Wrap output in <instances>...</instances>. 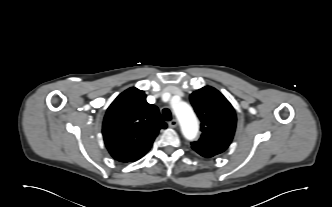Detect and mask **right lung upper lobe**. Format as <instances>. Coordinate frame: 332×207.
Returning a JSON list of instances; mask_svg holds the SVG:
<instances>
[{
  "label": "right lung upper lobe",
  "mask_w": 332,
  "mask_h": 207,
  "mask_svg": "<svg viewBox=\"0 0 332 207\" xmlns=\"http://www.w3.org/2000/svg\"><path fill=\"white\" fill-rule=\"evenodd\" d=\"M166 127L158 108L147 103L144 91L131 87L107 109L102 133L114 159L134 162L148 152L159 130Z\"/></svg>",
  "instance_id": "cb5924a9"
}]
</instances>
